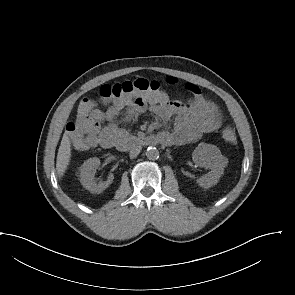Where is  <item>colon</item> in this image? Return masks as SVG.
I'll return each mask as SVG.
<instances>
[{
  "mask_svg": "<svg viewBox=\"0 0 295 295\" xmlns=\"http://www.w3.org/2000/svg\"><path fill=\"white\" fill-rule=\"evenodd\" d=\"M162 86L157 81L146 79H136L115 84H106L99 88L98 96L103 101L114 100L132 93H150L161 90ZM96 108V103L92 98H85L80 102L77 121L87 119ZM222 139L230 144L236 142V133L231 126H226L221 132Z\"/></svg>",
  "mask_w": 295,
  "mask_h": 295,
  "instance_id": "5ec220e1",
  "label": "colon"
}]
</instances>
